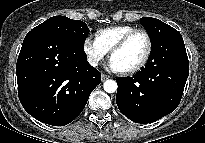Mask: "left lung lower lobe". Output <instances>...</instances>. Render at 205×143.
Listing matches in <instances>:
<instances>
[{
	"instance_id": "0a47b994",
	"label": "left lung lower lobe",
	"mask_w": 205,
	"mask_h": 143,
	"mask_svg": "<svg viewBox=\"0 0 205 143\" xmlns=\"http://www.w3.org/2000/svg\"><path fill=\"white\" fill-rule=\"evenodd\" d=\"M150 62L133 77L118 78L116 103L135 123H151L173 112L179 105L189 62L180 33L172 34L152 48Z\"/></svg>"
}]
</instances>
